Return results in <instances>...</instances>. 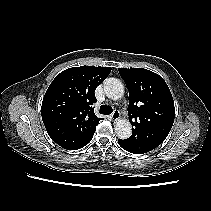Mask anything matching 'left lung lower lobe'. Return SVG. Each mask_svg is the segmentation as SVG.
Masks as SVG:
<instances>
[{"instance_id":"1","label":"left lung lower lobe","mask_w":211,"mask_h":211,"mask_svg":"<svg viewBox=\"0 0 211 211\" xmlns=\"http://www.w3.org/2000/svg\"><path fill=\"white\" fill-rule=\"evenodd\" d=\"M119 145L126 151L130 152V153H134V154H143V153H147L150 150L146 149V148H133L132 146H130L129 144H127L125 142V140H118Z\"/></svg>"}]
</instances>
